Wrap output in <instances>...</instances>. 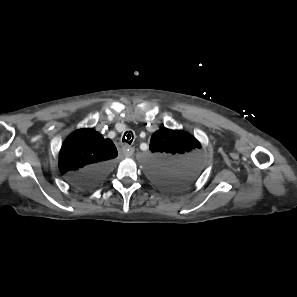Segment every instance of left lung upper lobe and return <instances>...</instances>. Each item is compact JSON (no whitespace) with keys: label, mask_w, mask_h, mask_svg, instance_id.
<instances>
[{"label":"left lung upper lobe","mask_w":297,"mask_h":297,"mask_svg":"<svg viewBox=\"0 0 297 297\" xmlns=\"http://www.w3.org/2000/svg\"><path fill=\"white\" fill-rule=\"evenodd\" d=\"M149 148L148 173L165 188L185 186L201 171V145L187 132L161 128L151 136Z\"/></svg>","instance_id":"obj_1"}]
</instances>
